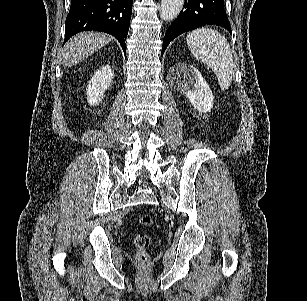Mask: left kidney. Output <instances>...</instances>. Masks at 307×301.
<instances>
[{
    "instance_id": "1",
    "label": "left kidney",
    "mask_w": 307,
    "mask_h": 301,
    "mask_svg": "<svg viewBox=\"0 0 307 301\" xmlns=\"http://www.w3.org/2000/svg\"><path fill=\"white\" fill-rule=\"evenodd\" d=\"M173 70L179 78L174 80V88L181 90L198 112H210L214 104L213 92L198 68H195L193 64L180 62V64H174Z\"/></svg>"
}]
</instances>
